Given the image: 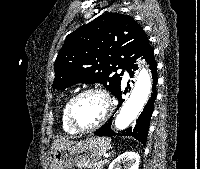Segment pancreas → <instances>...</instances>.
I'll list each match as a JSON object with an SVG mask.
<instances>
[{"label":"pancreas","instance_id":"1","mask_svg":"<svg viewBox=\"0 0 200 169\" xmlns=\"http://www.w3.org/2000/svg\"><path fill=\"white\" fill-rule=\"evenodd\" d=\"M107 163V160L94 162L91 164H78L80 169L87 168V169H103L104 165Z\"/></svg>","mask_w":200,"mask_h":169}]
</instances>
